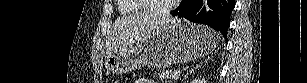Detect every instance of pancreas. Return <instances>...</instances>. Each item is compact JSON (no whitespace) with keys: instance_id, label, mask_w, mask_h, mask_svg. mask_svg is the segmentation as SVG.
Wrapping results in <instances>:
<instances>
[{"instance_id":"1","label":"pancreas","mask_w":307,"mask_h":83,"mask_svg":"<svg viewBox=\"0 0 307 83\" xmlns=\"http://www.w3.org/2000/svg\"><path fill=\"white\" fill-rule=\"evenodd\" d=\"M174 74L173 70H165L158 73L159 78L163 80H171L172 75Z\"/></svg>"}]
</instances>
